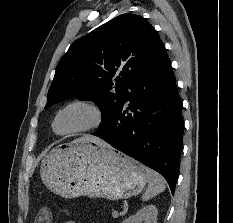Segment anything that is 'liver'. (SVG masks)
<instances>
[{
	"label": "liver",
	"instance_id": "obj_1",
	"mask_svg": "<svg viewBox=\"0 0 233 223\" xmlns=\"http://www.w3.org/2000/svg\"><path fill=\"white\" fill-rule=\"evenodd\" d=\"M80 141H92V143H98V145H106V147H110L106 141L100 139V137H95V135H84V137H77L74 139L73 143H80Z\"/></svg>",
	"mask_w": 233,
	"mask_h": 223
}]
</instances>
